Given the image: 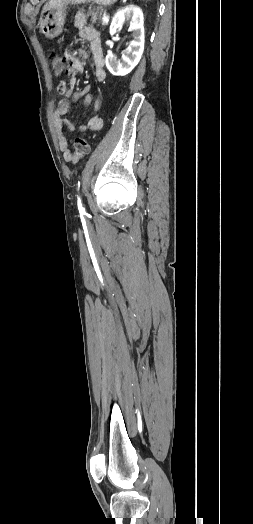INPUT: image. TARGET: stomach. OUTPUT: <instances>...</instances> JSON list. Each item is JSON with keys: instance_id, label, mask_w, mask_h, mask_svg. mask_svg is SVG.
Here are the masks:
<instances>
[{"instance_id": "obj_1", "label": "stomach", "mask_w": 253, "mask_h": 524, "mask_svg": "<svg viewBox=\"0 0 253 524\" xmlns=\"http://www.w3.org/2000/svg\"><path fill=\"white\" fill-rule=\"evenodd\" d=\"M117 0H49L43 7L39 28L47 38L57 37L62 33L68 5H79L94 2L102 6L115 3Z\"/></svg>"}]
</instances>
